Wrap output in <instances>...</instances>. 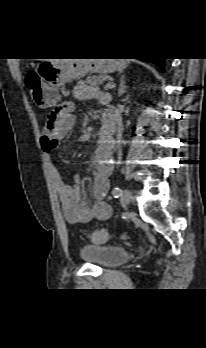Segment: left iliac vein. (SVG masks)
<instances>
[{
    "mask_svg": "<svg viewBox=\"0 0 206 348\" xmlns=\"http://www.w3.org/2000/svg\"><path fill=\"white\" fill-rule=\"evenodd\" d=\"M132 200V193L131 191L125 189L122 191L121 195H120V203L123 206H128L131 203Z\"/></svg>",
    "mask_w": 206,
    "mask_h": 348,
    "instance_id": "4c4485c4",
    "label": "left iliac vein"
}]
</instances>
